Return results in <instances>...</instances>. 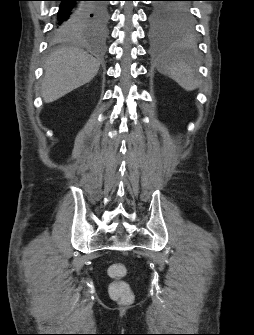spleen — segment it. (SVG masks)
<instances>
[{"mask_svg":"<svg viewBox=\"0 0 254 335\" xmlns=\"http://www.w3.org/2000/svg\"><path fill=\"white\" fill-rule=\"evenodd\" d=\"M159 70L176 81L186 91H193L199 86L194 71L181 60L173 49L167 50L159 59Z\"/></svg>","mask_w":254,"mask_h":335,"instance_id":"obj_1","label":"spleen"}]
</instances>
